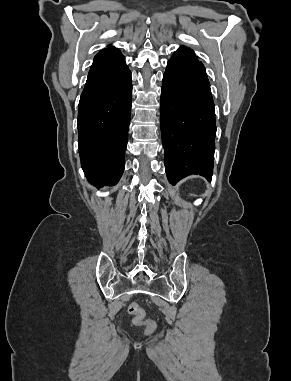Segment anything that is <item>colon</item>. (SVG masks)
<instances>
[{
	"label": "colon",
	"instance_id": "colon-1",
	"mask_svg": "<svg viewBox=\"0 0 291 381\" xmlns=\"http://www.w3.org/2000/svg\"><path fill=\"white\" fill-rule=\"evenodd\" d=\"M128 313L133 316L135 325H146L149 330L153 328V324L145 320V313L137 303L133 302L129 305Z\"/></svg>",
	"mask_w": 291,
	"mask_h": 381
}]
</instances>
